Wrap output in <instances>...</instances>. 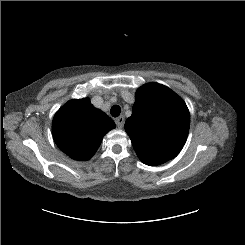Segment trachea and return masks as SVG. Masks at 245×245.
<instances>
[{
	"mask_svg": "<svg viewBox=\"0 0 245 245\" xmlns=\"http://www.w3.org/2000/svg\"><path fill=\"white\" fill-rule=\"evenodd\" d=\"M110 113L113 117H118L121 113V108L119 105H113L110 109Z\"/></svg>",
	"mask_w": 245,
	"mask_h": 245,
	"instance_id": "1",
	"label": "trachea"
}]
</instances>
